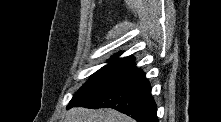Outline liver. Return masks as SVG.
Instances as JSON below:
<instances>
[{"label": "liver", "instance_id": "liver-1", "mask_svg": "<svg viewBox=\"0 0 221 122\" xmlns=\"http://www.w3.org/2000/svg\"><path fill=\"white\" fill-rule=\"evenodd\" d=\"M64 122H134V120L110 108L92 110L79 107L69 110Z\"/></svg>", "mask_w": 221, "mask_h": 122}]
</instances>
